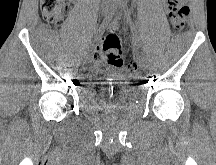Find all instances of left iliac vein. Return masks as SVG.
Here are the masks:
<instances>
[{
    "label": "left iliac vein",
    "mask_w": 216,
    "mask_h": 165,
    "mask_svg": "<svg viewBox=\"0 0 216 165\" xmlns=\"http://www.w3.org/2000/svg\"><path fill=\"white\" fill-rule=\"evenodd\" d=\"M137 60H138V63H139V65H140V67L142 69H146L147 68V59H146L145 55L140 54L138 56Z\"/></svg>",
    "instance_id": "obj_1"
}]
</instances>
